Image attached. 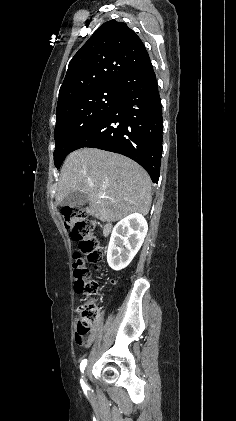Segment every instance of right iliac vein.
Returning a JSON list of instances; mask_svg holds the SVG:
<instances>
[{"label": "right iliac vein", "instance_id": "63e3f726", "mask_svg": "<svg viewBox=\"0 0 236 421\" xmlns=\"http://www.w3.org/2000/svg\"><path fill=\"white\" fill-rule=\"evenodd\" d=\"M84 381H87V373L84 374Z\"/></svg>", "mask_w": 236, "mask_h": 421}]
</instances>
